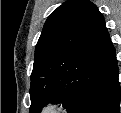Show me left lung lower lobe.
I'll use <instances>...</instances> for the list:
<instances>
[{
    "instance_id": "obj_1",
    "label": "left lung lower lobe",
    "mask_w": 121,
    "mask_h": 113,
    "mask_svg": "<svg viewBox=\"0 0 121 113\" xmlns=\"http://www.w3.org/2000/svg\"><path fill=\"white\" fill-rule=\"evenodd\" d=\"M121 88L114 54L82 93L71 113H120Z\"/></svg>"
}]
</instances>
